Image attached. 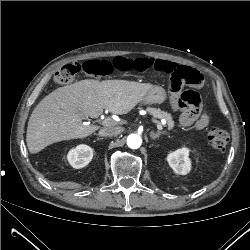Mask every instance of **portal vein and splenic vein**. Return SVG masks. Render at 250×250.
<instances>
[{"label":"portal vein and splenic vein","mask_w":250,"mask_h":250,"mask_svg":"<svg viewBox=\"0 0 250 250\" xmlns=\"http://www.w3.org/2000/svg\"><path fill=\"white\" fill-rule=\"evenodd\" d=\"M165 122H166V121L163 119V120H162V123L165 124ZM113 123H114V121H113L112 119H105V120L102 122V124L105 125V126L112 125ZM156 126H157L158 130H162V129H163V128H162V125H161L160 123H157Z\"/></svg>","instance_id":"18ae733b"}]
</instances>
